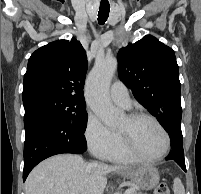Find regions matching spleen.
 <instances>
[{"mask_svg":"<svg viewBox=\"0 0 201 194\" xmlns=\"http://www.w3.org/2000/svg\"><path fill=\"white\" fill-rule=\"evenodd\" d=\"M173 191L174 194H185L184 185L182 184V181L178 177L174 179Z\"/></svg>","mask_w":201,"mask_h":194,"instance_id":"spleen-1","label":"spleen"}]
</instances>
